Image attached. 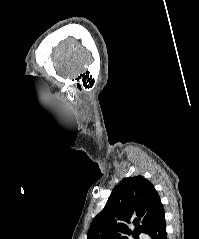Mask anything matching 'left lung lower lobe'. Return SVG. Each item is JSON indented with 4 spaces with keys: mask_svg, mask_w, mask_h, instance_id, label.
I'll list each match as a JSON object with an SVG mask.
<instances>
[{
    "mask_svg": "<svg viewBox=\"0 0 199 239\" xmlns=\"http://www.w3.org/2000/svg\"><path fill=\"white\" fill-rule=\"evenodd\" d=\"M147 234L151 239H167L164 210L158 214Z\"/></svg>",
    "mask_w": 199,
    "mask_h": 239,
    "instance_id": "left-lung-lower-lobe-1",
    "label": "left lung lower lobe"
}]
</instances>
